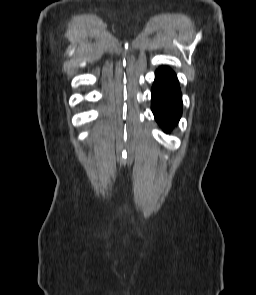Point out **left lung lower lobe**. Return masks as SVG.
Wrapping results in <instances>:
<instances>
[{"instance_id":"left-lung-lower-lobe-1","label":"left lung lower lobe","mask_w":256,"mask_h":295,"mask_svg":"<svg viewBox=\"0 0 256 295\" xmlns=\"http://www.w3.org/2000/svg\"><path fill=\"white\" fill-rule=\"evenodd\" d=\"M151 94V109L155 119L165 132H168L177 125L182 115L179 83L170 68L157 69Z\"/></svg>"}]
</instances>
